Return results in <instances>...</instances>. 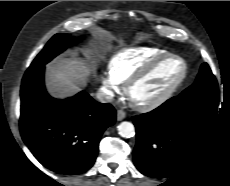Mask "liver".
<instances>
[{
    "label": "liver",
    "instance_id": "1",
    "mask_svg": "<svg viewBox=\"0 0 230 186\" xmlns=\"http://www.w3.org/2000/svg\"><path fill=\"white\" fill-rule=\"evenodd\" d=\"M90 69L78 58H60L48 66L47 84L58 97L77 92L85 85Z\"/></svg>",
    "mask_w": 230,
    "mask_h": 186
}]
</instances>
